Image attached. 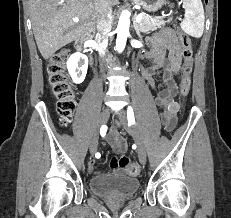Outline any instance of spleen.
<instances>
[{
	"label": "spleen",
	"instance_id": "3e777b00",
	"mask_svg": "<svg viewBox=\"0 0 231 218\" xmlns=\"http://www.w3.org/2000/svg\"><path fill=\"white\" fill-rule=\"evenodd\" d=\"M185 9L184 20L181 23L182 30L188 35L200 38L204 31V9L201 0H183Z\"/></svg>",
	"mask_w": 231,
	"mask_h": 218
}]
</instances>
